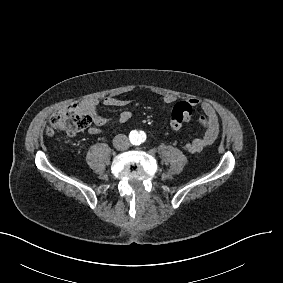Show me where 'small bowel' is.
I'll return each instance as SVG.
<instances>
[{
  "label": "small bowel",
  "mask_w": 283,
  "mask_h": 283,
  "mask_svg": "<svg viewBox=\"0 0 283 283\" xmlns=\"http://www.w3.org/2000/svg\"><path fill=\"white\" fill-rule=\"evenodd\" d=\"M191 102L195 107H199L200 114V123L203 128V134L199 137L194 138L192 141L188 142L186 145L187 150L190 153H199L206 147L210 146L218 137L220 132V123L214 108L207 102L201 101L198 98H188L186 100L180 101L177 104L182 102ZM163 105L168 107L175 102L173 96H166L163 98ZM102 103L105 106L113 108H121L129 105L130 100L120 99L116 97H105L101 101L98 98L90 97L83 100L80 104L83 112L88 114L92 118L93 125L89 128V134L96 135L101 132V127L111 124V121L101 117L97 112V106ZM176 104V105H177ZM132 117L130 111H123L118 117L119 123H126Z\"/></svg>",
  "instance_id": "c3829d8e"
}]
</instances>
